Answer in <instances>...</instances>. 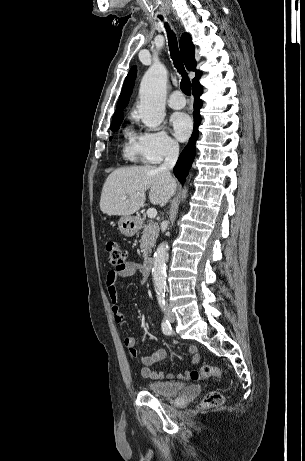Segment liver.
I'll use <instances>...</instances> for the list:
<instances>
[{
	"label": "liver",
	"mask_w": 305,
	"mask_h": 461,
	"mask_svg": "<svg viewBox=\"0 0 305 461\" xmlns=\"http://www.w3.org/2000/svg\"><path fill=\"white\" fill-rule=\"evenodd\" d=\"M177 187L175 178L166 175L156 166H130L118 168L107 177L101 193L100 209L103 213L130 216L137 212L146 200L165 206ZM127 196L126 199H123Z\"/></svg>",
	"instance_id": "liver-1"
}]
</instances>
